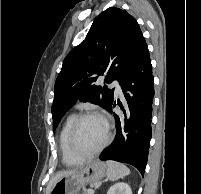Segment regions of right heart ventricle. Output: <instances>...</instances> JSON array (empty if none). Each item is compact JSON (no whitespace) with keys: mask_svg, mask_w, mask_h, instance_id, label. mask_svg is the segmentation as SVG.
<instances>
[{"mask_svg":"<svg viewBox=\"0 0 201 194\" xmlns=\"http://www.w3.org/2000/svg\"><path fill=\"white\" fill-rule=\"evenodd\" d=\"M76 114H70L66 117L65 121L62 124V127L59 132V149L61 153L62 162L67 166H75L83 162L84 159H81L75 156L68 145V134L72 122L74 121Z\"/></svg>","mask_w":201,"mask_h":194,"instance_id":"1","label":"right heart ventricle"}]
</instances>
